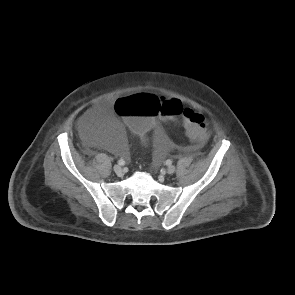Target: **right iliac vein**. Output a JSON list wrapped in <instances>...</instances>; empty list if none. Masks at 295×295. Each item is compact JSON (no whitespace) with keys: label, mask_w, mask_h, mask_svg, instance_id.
I'll use <instances>...</instances> for the list:
<instances>
[{"label":"right iliac vein","mask_w":295,"mask_h":295,"mask_svg":"<svg viewBox=\"0 0 295 295\" xmlns=\"http://www.w3.org/2000/svg\"><path fill=\"white\" fill-rule=\"evenodd\" d=\"M113 169H114V172H115L117 175H120V174H122V172H123V169H122V167H121L120 165H115Z\"/></svg>","instance_id":"63e3f726"}]
</instances>
